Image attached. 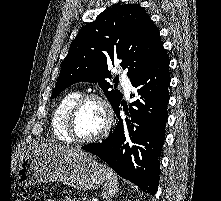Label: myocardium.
Wrapping results in <instances>:
<instances>
[{
    "mask_svg": "<svg viewBox=\"0 0 221 201\" xmlns=\"http://www.w3.org/2000/svg\"><path fill=\"white\" fill-rule=\"evenodd\" d=\"M90 100H96L102 105L104 112H105V125L103 129L101 130V132L98 133L97 135L90 137V138H80L76 135L74 131L75 119L80 108L87 101H90ZM113 121H114V112H113V108L109 100L105 96L98 94V93H86V94L81 95L71 107L69 114L67 116L66 130H67L69 137L71 138L73 142L79 143V144H90V143H94L103 139L111 130Z\"/></svg>",
    "mask_w": 221,
    "mask_h": 201,
    "instance_id": "obj_1",
    "label": "myocardium"
}]
</instances>
